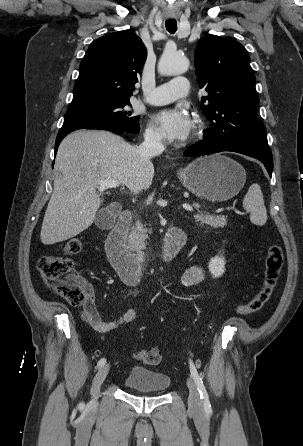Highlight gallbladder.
Wrapping results in <instances>:
<instances>
[{
	"label": "gallbladder",
	"instance_id": "gallbladder-1",
	"mask_svg": "<svg viewBox=\"0 0 303 446\" xmlns=\"http://www.w3.org/2000/svg\"><path fill=\"white\" fill-rule=\"evenodd\" d=\"M109 219L110 223L114 222L113 217H110L106 210H102L96 215V224L100 227H106Z\"/></svg>",
	"mask_w": 303,
	"mask_h": 446
}]
</instances>
